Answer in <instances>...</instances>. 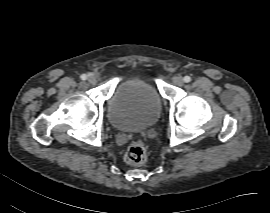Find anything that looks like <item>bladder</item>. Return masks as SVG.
<instances>
[{
    "instance_id": "bladder-1",
    "label": "bladder",
    "mask_w": 270,
    "mask_h": 213,
    "mask_svg": "<svg viewBox=\"0 0 270 213\" xmlns=\"http://www.w3.org/2000/svg\"><path fill=\"white\" fill-rule=\"evenodd\" d=\"M162 110V98L154 85L143 77L120 81L106 104L109 123L121 131H136L153 126Z\"/></svg>"
}]
</instances>
